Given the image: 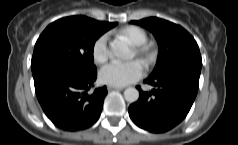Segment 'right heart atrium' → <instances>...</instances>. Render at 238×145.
I'll return each instance as SVG.
<instances>
[{"instance_id": "d8ad5b80", "label": "right heart atrium", "mask_w": 238, "mask_h": 145, "mask_svg": "<svg viewBox=\"0 0 238 145\" xmlns=\"http://www.w3.org/2000/svg\"><path fill=\"white\" fill-rule=\"evenodd\" d=\"M91 52L93 60L98 64H103L108 60L110 54L106 35H102L94 41Z\"/></svg>"}]
</instances>
